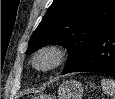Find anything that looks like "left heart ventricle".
Segmentation results:
<instances>
[{"label":"left heart ventricle","mask_w":115,"mask_h":99,"mask_svg":"<svg viewBox=\"0 0 115 99\" xmlns=\"http://www.w3.org/2000/svg\"><path fill=\"white\" fill-rule=\"evenodd\" d=\"M50 62L48 57H42L38 60V64L41 66L47 65Z\"/></svg>","instance_id":"left-heart-ventricle-1"}]
</instances>
